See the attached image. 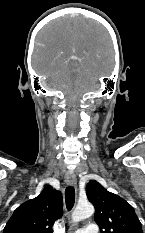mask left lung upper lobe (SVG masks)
Here are the masks:
<instances>
[{
  "mask_svg": "<svg viewBox=\"0 0 145 233\" xmlns=\"http://www.w3.org/2000/svg\"><path fill=\"white\" fill-rule=\"evenodd\" d=\"M86 193L95 207L94 220L101 233H143L133 207L123 198L94 180L87 184Z\"/></svg>",
  "mask_w": 145,
  "mask_h": 233,
  "instance_id": "1",
  "label": "left lung upper lobe"
}]
</instances>
